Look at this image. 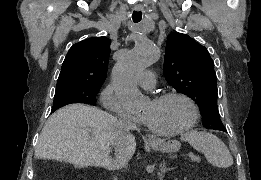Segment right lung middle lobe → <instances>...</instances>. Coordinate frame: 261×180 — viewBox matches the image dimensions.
Returning a JSON list of instances; mask_svg holds the SVG:
<instances>
[{
  "label": "right lung middle lobe",
  "instance_id": "obj_1",
  "mask_svg": "<svg viewBox=\"0 0 261 180\" xmlns=\"http://www.w3.org/2000/svg\"><path fill=\"white\" fill-rule=\"evenodd\" d=\"M100 88L101 86L86 84L57 86L52 112L72 103H84L94 106L96 104L95 97Z\"/></svg>",
  "mask_w": 261,
  "mask_h": 180
}]
</instances>
